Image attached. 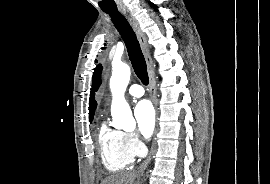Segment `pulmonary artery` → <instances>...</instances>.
<instances>
[{
	"instance_id": "pulmonary-artery-1",
	"label": "pulmonary artery",
	"mask_w": 270,
	"mask_h": 184,
	"mask_svg": "<svg viewBox=\"0 0 270 184\" xmlns=\"http://www.w3.org/2000/svg\"><path fill=\"white\" fill-rule=\"evenodd\" d=\"M128 94L132 97H141L144 94V90L140 85L134 84L128 89Z\"/></svg>"
}]
</instances>
